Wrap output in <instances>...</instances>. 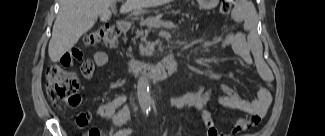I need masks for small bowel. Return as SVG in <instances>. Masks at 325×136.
I'll return each mask as SVG.
<instances>
[{
  "mask_svg": "<svg viewBox=\"0 0 325 136\" xmlns=\"http://www.w3.org/2000/svg\"><path fill=\"white\" fill-rule=\"evenodd\" d=\"M228 45H232L245 62L250 61L251 44L244 33L240 31L228 32L223 37L219 47L223 48ZM107 62L108 56L104 52H96L93 57H84L81 44H72L67 49V53H62L59 58V63L63 64L65 69L77 68L78 64H82V74L86 79L92 78L94 69L104 67ZM257 69L260 76L268 84L259 86L253 99L242 98L234 88L227 85H220L217 93H209L202 85L195 83L191 93L174 98L170 105L176 108L193 107L198 110L208 136H226L249 130L264 116L272 100L270 90L272 77L262 63L258 65ZM70 73H73V70H70ZM77 97L78 102L73 104V107L80 104V98ZM213 98L226 109L239 110L246 114L244 118L236 121L230 134L220 133L215 125L213 114L208 109V103ZM126 99L125 94H118L106 103L99 105L95 110L80 113L76 117V122L80 127H85L91 117L96 115L110 120L115 127H122L132 112L131 106L122 107Z\"/></svg>",
  "mask_w": 325,
  "mask_h": 136,
  "instance_id": "c3829d8e",
  "label": "small bowel"
}]
</instances>
